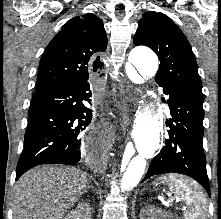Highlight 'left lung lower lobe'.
<instances>
[{
    "label": "left lung lower lobe",
    "mask_w": 221,
    "mask_h": 219,
    "mask_svg": "<svg viewBox=\"0 0 221 219\" xmlns=\"http://www.w3.org/2000/svg\"><path fill=\"white\" fill-rule=\"evenodd\" d=\"M163 92L169 96L172 116L169 121V138L161 152L150 163L144 180L164 173L184 174L198 181L210 196L202 141L203 103L172 90Z\"/></svg>",
    "instance_id": "0a47b994"
}]
</instances>
